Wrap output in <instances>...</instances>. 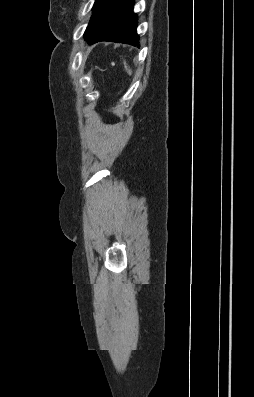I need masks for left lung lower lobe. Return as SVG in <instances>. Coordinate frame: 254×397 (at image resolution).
Wrapping results in <instances>:
<instances>
[{"instance_id":"left-lung-lower-lobe-1","label":"left lung lower lobe","mask_w":254,"mask_h":397,"mask_svg":"<svg viewBox=\"0 0 254 397\" xmlns=\"http://www.w3.org/2000/svg\"><path fill=\"white\" fill-rule=\"evenodd\" d=\"M133 5L134 0H109L99 25L86 38L88 44L113 41L139 47L137 19L133 14Z\"/></svg>"}]
</instances>
